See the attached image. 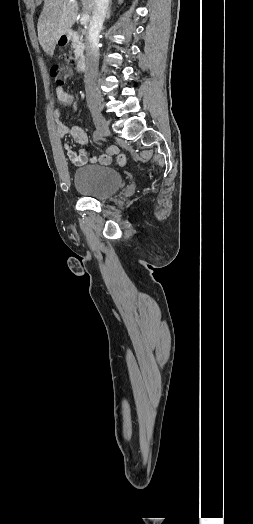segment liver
<instances>
[{
	"mask_svg": "<svg viewBox=\"0 0 253 524\" xmlns=\"http://www.w3.org/2000/svg\"><path fill=\"white\" fill-rule=\"evenodd\" d=\"M82 10L90 14L94 9V0H81ZM79 6L76 0H44L37 31L38 39L44 52L52 56L58 39L68 33L75 23Z\"/></svg>",
	"mask_w": 253,
	"mask_h": 524,
	"instance_id": "6515ba94",
	"label": "liver"
}]
</instances>
